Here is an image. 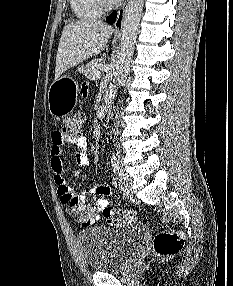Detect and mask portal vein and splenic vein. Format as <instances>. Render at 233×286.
<instances>
[{"instance_id":"portal-vein-and-splenic-vein-1","label":"portal vein and splenic vein","mask_w":233,"mask_h":286,"mask_svg":"<svg viewBox=\"0 0 233 286\" xmlns=\"http://www.w3.org/2000/svg\"><path fill=\"white\" fill-rule=\"evenodd\" d=\"M100 77V72H96L95 75H94V79H98Z\"/></svg>"}]
</instances>
